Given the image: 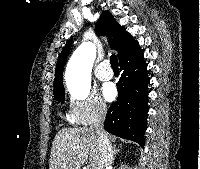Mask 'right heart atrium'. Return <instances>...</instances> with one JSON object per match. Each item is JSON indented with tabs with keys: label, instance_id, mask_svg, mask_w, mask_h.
Instances as JSON below:
<instances>
[{
	"label": "right heart atrium",
	"instance_id": "d8ad5b80",
	"mask_svg": "<svg viewBox=\"0 0 200 169\" xmlns=\"http://www.w3.org/2000/svg\"><path fill=\"white\" fill-rule=\"evenodd\" d=\"M108 112L106 103L95 94L82 99L69 101L68 116L74 125L87 126L105 118Z\"/></svg>",
	"mask_w": 200,
	"mask_h": 169
}]
</instances>
